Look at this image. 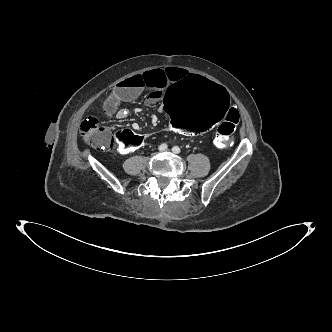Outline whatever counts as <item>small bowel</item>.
<instances>
[{"label": "small bowel", "instance_id": "c3829d8e", "mask_svg": "<svg viewBox=\"0 0 332 332\" xmlns=\"http://www.w3.org/2000/svg\"><path fill=\"white\" fill-rule=\"evenodd\" d=\"M187 75L191 74L186 69L168 67L152 69L124 79L114 86L105 98L102 106L103 112L106 116L116 115L119 119H123L125 113L119 110L120 104L136 99L144 90L150 91L146 99V105L153 107L161 100L167 88ZM231 111L237 112L228 102V109L223 118ZM132 128L135 131H142L143 129L142 126L137 123H134Z\"/></svg>", "mask_w": 332, "mask_h": 332}]
</instances>
